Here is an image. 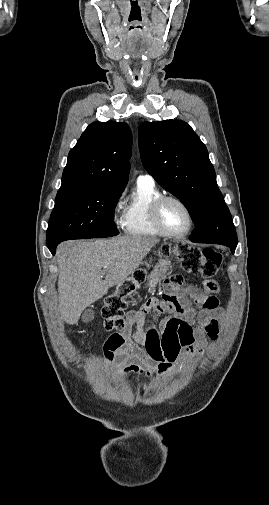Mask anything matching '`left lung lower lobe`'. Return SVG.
<instances>
[{
  "label": "left lung lower lobe",
  "instance_id": "0a47b994",
  "mask_svg": "<svg viewBox=\"0 0 269 505\" xmlns=\"http://www.w3.org/2000/svg\"><path fill=\"white\" fill-rule=\"evenodd\" d=\"M191 241H192V240H191ZM193 242H194V241H193ZM200 243H201V242H200ZM225 246L230 247L231 252H232V253H234L236 246H233V245H225Z\"/></svg>",
  "mask_w": 269,
  "mask_h": 505
}]
</instances>
